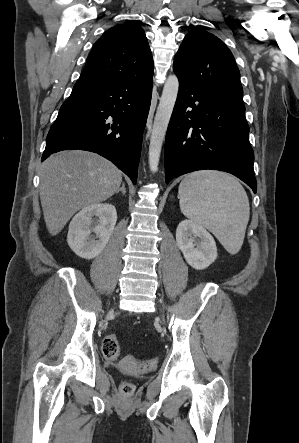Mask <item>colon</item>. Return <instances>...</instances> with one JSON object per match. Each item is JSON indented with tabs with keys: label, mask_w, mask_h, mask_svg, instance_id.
Wrapping results in <instances>:
<instances>
[{
	"label": "colon",
	"mask_w": 299,
	"mask_h": 443,
	"mask_svg": "<svg viewBox=\"0 0 299 443\" xmlns=\"http://www.w3.org/2000/svg\"><path fill=\"white\" fill-rule=\"evenodd\" d=\"M101 349L106 358L117 360L120 355L118 338L114 334L105 335L102 339ZM119 365L130 373H145L153 371L157 366V361L155 359L138 361L127 355L119 361ZM134 389L135 386L130 381H124L119 387L120 393L125 397L131 396Z\"/></svg>",
	"instance_id": "obj_1"
}]
</instances>
